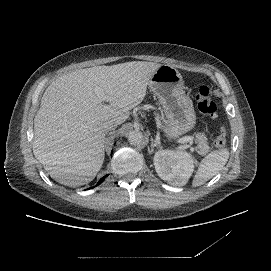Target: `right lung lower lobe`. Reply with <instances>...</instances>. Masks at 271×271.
Returning a JSON list of instances; mask_svg holds the SVG:
<instances>
[{"label": "right lung lower lobe", "mask_w": 271, "mask_h": 271, "mask_svg": "<svg viewBox=\"0 0 271 271\" xmlns=\"http://www.w3.org/2000/svg\"><path fill=\"white\" fill-rule=\"evenodd\" d=\"M106 177H107V175H106V176H104V177H102V178L99 180V182L96 184V186H97V185H99L100 183H102V182H103V180H104Z\"/></svg>", "instance_id": "obj_1"}]
</instances>
